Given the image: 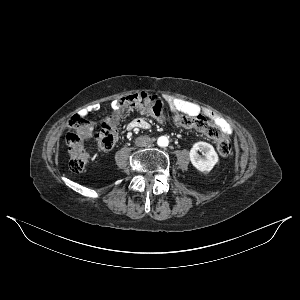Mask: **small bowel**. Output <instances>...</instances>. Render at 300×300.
<instances>
[{
  "label": "small bowel",
  "instance_id": "obj_1",
  "mask_svg": "<svg viewBox=\"0 0 300 300\" xmlns=\"http://www.w3.org/2000/svg\"><path fill=\"white\" fill-rule=\"evenodd\" d=\"M166 102L171 111H179L189 115H197L200 113L205 114L212 122L215 123V125H217L221 129V131L225 135H229L233 131L231 125L217 113L213 112L212 110L202 108L194 102L174 97H167ZM93 109L94 108H87L83 110L81 115H79L78 117L88 115L91 111H93ZM128 126L131 129H148L149 123L143 118H136L132 120Z\"/></svg>",
  "mask_w": 300,
  "mask_h": 300
}]
</instances>
